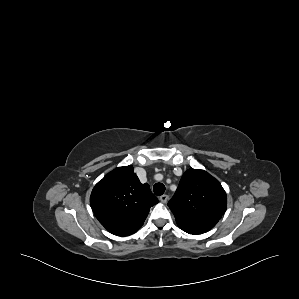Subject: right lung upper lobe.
Wrapping results in <instances>:
<instances>
[{
  "instance_id": "cb5924a9",
  "label": "right lung upper lobe",
  "mask_w": 299,
  "mask_h": 299,
  "mask_svg": "<svg viewBox=\"0 0 299 299\" xmlns=\"http://www.w3.org/2000/svg\"><path fill=\"white\" fill-rule=\"evenodd\" d=\"M158 199L142 184L131 165L118 167L92 190L90 204L99 222L112 234L129 236L143 225Z\"/></svg>"
}]
</instances>
